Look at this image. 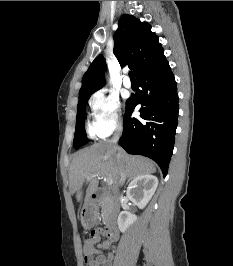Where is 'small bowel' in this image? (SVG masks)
<instances>
[{
  "mask_svg": "<svg viewBox=\"0 0 233 266\" xmlns=\"http://www.w3.org/2000/svg\"><path fill=\"white\" fill-rule=\"evenodd\" d=\"M113 247V243L109 239H105L98 243L95 247L94 244L85 242L83 246L84 260L87 266H112L114 259L113 252L105 254L103 250H109Z\"/></svg>",
  "mask_w": 233,
  "mask_h": 266,
  "instance_id": "c3829d8e",
  "label": "small bowel"
}]
</instances>
